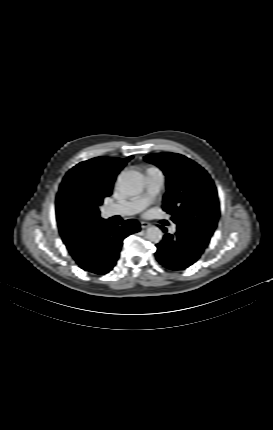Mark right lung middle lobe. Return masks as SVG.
Returning <instances> with one entry per match:
<instances>
[{
	"instance_id": "1",
	"label": "right lung middle lobe",
	"mask_w": 273,
	"mask_h": 430,
	"mask_svg": "<svg viewBox=\"0 0 273 430\" xmlns=\"http://www.w3.org/2000/svg\"><path fill=\"white\" fill-rule=\"evenodd\" d=\"M101 204L79 193L70 194L56 210L60 228L67 231L83 229L99 218Z\"/></svg>"
}]
</instances>
